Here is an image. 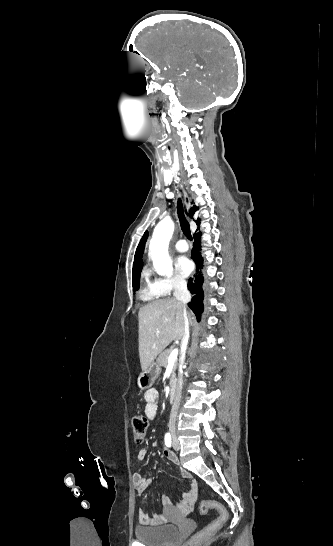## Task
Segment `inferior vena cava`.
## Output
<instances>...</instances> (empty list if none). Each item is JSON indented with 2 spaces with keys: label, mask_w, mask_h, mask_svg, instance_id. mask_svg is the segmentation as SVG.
<instances>
[{
  "label": "inferior vena cava",
  "mask_w": 333,
  "mask_h": 546,
  "mask_svg": "<svg viewBox=\"0 0 333 546\" xmlns=\"http://www.w3.org/2000/svg\"><path fill=\"white\" fill-rule=\"evenodd\" d=\"M173 286H174V296L176 300H178L183 306L184 332L181 339V348H182V356L184 357L186 349H187V345H188V340H189V313L187 311V304L191 300V294L187 289V283L185 280L176 279L173 283ZM182 385H183V377L182 375H180L178 379L177 387H176V394H175L174 402L172 405L170 420L168 425L170 432H175L176 430V417H177V412L180 405Z\"/></svg>",
  "instance_id": "1"
}]
</instances>
